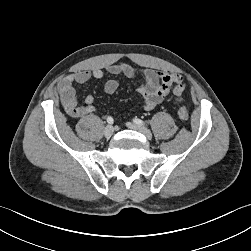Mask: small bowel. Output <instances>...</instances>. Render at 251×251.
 <instances>
[{
  "instance_id": "c3829d8e",
  "label": "small bowel",
  "mask_w": 251,
  "mask_h": 251,
  "mask_svg": "<svg viewBox=\"0 0 251 251\" xmlns=\"http://www.w3.org/2000/svg\"><path fill=\"white\" fill-rule=\"evenodd\" d=\"M106 71L114 76L123 75L128 78L141 77L143 84L138 92L144 99V109L153 110L158 104L164 101L172 92L178 101L185 89L182 78L177 74L161 72L153 69L137 70L127 63L109 65ZM105 76L102 69L81 70L64 77L58 84L61 103L66 113L72 118H80L96 112L94 98L89 95L85 98L84 104L79 105L77 100L76 84H84L90 80H101ZM119 87L116 79H107L104 83V91L107 94H114Z\"/></svg>"
}]
</instances>
